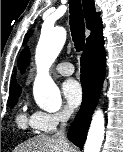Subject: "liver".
<instances>
[{
  "label": "liver",
  "mask_w": 123,
  "mask_h": 152,
  "mask_svg": "<svg viewBox=\"0 0 123 152\" xmlns=\"http://www.w3.org/2000/svg\"><path fill=\"white\" fill-rule=\"evenodd\" d=\"M14 152H74V149L56 135H39L22 143Z\"/></svg>",
  "instance_id": "6515ba94"
}]
</instances>
